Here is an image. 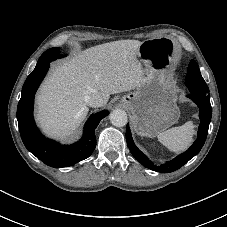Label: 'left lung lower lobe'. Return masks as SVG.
Wrapping results in <instances>:
<instances>
[{
	"label": "left lung lower lobe",
	"instance_id": "0a47b994",
	"mask_svg": "<svg viewBox=\"0 0 227 227\" xmlns=\"http://www.w3.org/2000/svg\"><path fill=\"white\" fill-rule=\"evenodd\" d=\"M190 99H192L199 107L200 113V126L198 130V138L193 143V145L183 154H180L176 158L171 161L162 164L161 166L154 165L134 144L131 136V132L129 126L126 127V140L127 145L130 149L132 155L139 161L143 166L148 169L157 171V172H173L184 164H186L190 159H192L196 154H198L203 147L207 134L208 128L211 121L212 108L210 104V97L201 96L196 93H190L187 95Z\"/></svg>",
	"mask_w": 227,
	"mask_h": 227
}]
</instances>
